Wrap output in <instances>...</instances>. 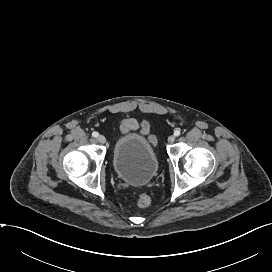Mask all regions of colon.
<instances>
[{
	"label": "colon",
	"mask_w": 272,
	"mask_h": 272,
	"mask_svg": "<svg viewBox=\"0 0 272 272\" xmlns=\"http://www.w3.org/2000/svg\"><path fill=\"white\" fill-rule=\"evenodd\" d=\"M150 202V197L147 194H140L137 198V205L141 208L149 206Z\"/></svg>",
	"instance_id": "1"
}]
</instances>
